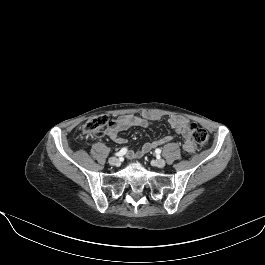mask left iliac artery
Here are the masks:
<instances>
[{
  "label": "left iliac artery",
  "instance_id": "obj_1",
  "mask_svg": "<svg viewBox=\"0 0 265 265\" xmlns=\"http://www.w3.org/2000/svg\"><path fill=\"white\" fill-rule=\"evenodd\" d=\"M155 153H156L157 155H160V154H161V150H160V149H156V150H155Z\"/></svg>",
  "mask_w": 265,
  "mask_h": 265
}]
</instances>
